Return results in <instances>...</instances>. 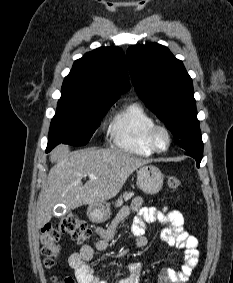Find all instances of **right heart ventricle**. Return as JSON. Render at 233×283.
Instances as JSON below:
<instances>
[{
  "instance_id": "obj_1",
  "label": "right heart ventricle",
  "mask_w": 233,
  "mask_h": 283,
  "mask_svg": "<svg viewBox=\"0 0 233 283\" xmlns=\"http://www.w3.org/2000/svg\"><path fill=\"white\" fill-rule=\"evenodd\" d=\"M156 124L152 115L139 103H130L112 118L109 133L112 144L119 150L138 156H151L147 134Z\"/></svg>"
}]
</instances>
